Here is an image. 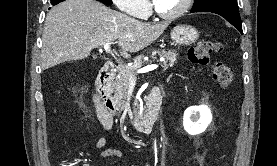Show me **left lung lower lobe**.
<instances>
[{"instance_id":"obj_1","label":"left lung lower lobe","mask_w":277,"mask_h":166,"mask_svg":"<svg viewBox=\"0 0 277 166\" xmlns=\"http://www.w3.org/2000/svg\"><path fill=\"white\" fill-rule=\"evenodd\" d=\"M197 12H212V13L219 14L222 17H224L229 23L235 26L240 31L241 34H243L241 18H240L239 12L236 10L215 8V9H209V10H203V11H197Z\"/></svg>"}]
</instances>
